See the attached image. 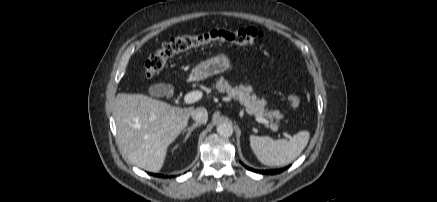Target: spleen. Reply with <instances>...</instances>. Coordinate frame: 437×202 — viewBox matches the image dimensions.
Here are the masks:
<instances>
[{"instance_id":"1","label":"spleen","mask_w":437,"mask_h":202,"mask_svg":"<svg viewBox=\"0 0 437 202\" xmlns=\"http://www.w3.org/2000/svg\"><path fill=\"white\" fill-rule=\"evenodd\" d=\"M308 131H299L290 140L250 136V146L258 160L267 166H283L295 160L309 142Z\"/></svg>"}]
</instances>
